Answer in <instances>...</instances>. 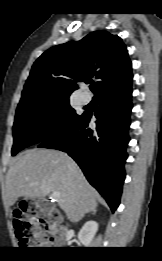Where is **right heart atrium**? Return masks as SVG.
Returning <instances> with one entry per match:
<instances>
[{"instance_id": "right-heart-atrium-1", "label": "right heart atrium", "mask_w": 162, "mask_h": 261, "mask_svg": "<svg viewBox=\"0 0 162 261\" xmlns=\"http://www.w3.org/2000/svg\"><path fill=\"white\" fill-rule=\"evenodd\" d=\"M52 119L56 122V118L55 117H53Z\"/></svg>"}]
</instances>
